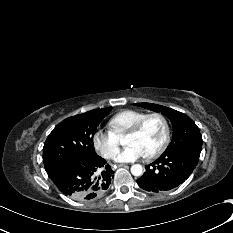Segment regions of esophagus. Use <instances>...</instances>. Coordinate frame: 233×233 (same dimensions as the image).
<instances>
[{"instance_id":"obj_1","label":"esophagus","mask_w":233,"mask_h":233,"mask_svg":"<svg viewBox=\"0 0 233 233\" xmlns=\"http://www.w3.org/2000/svg\"><path fill=\"white\" fill-rule=\"evenodd\" d=\"M118 165V167H123V166H125V164H117Z\"/></svg>"}]
</instances>
